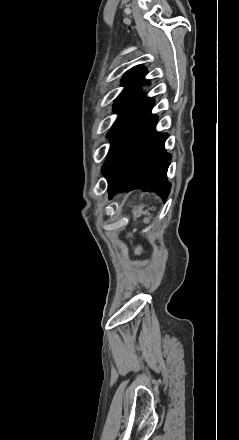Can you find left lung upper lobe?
<instances>
[{"label":"left lung upper lobe","instance_id":"obj_1","mask_svg":"<svg viewBox=\"0 0 239 440\" xmlns=\"http://www.w3.org/2000/svg\"><path fill=\"white\" fill-rule=\"evenodd\" d=\"M146 74L147 69L142 65H137L123 76L122 85L125 88L114 103L115 111L120 113L115 123L122 119L143 97L140 87Z\"/></svg>","mask_w":239,"mask_h":440}]
</instances>
